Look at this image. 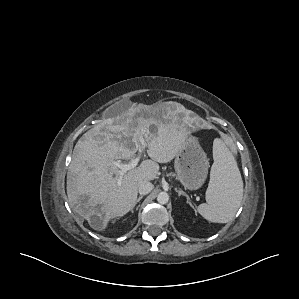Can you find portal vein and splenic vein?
<instances>
[{"label":"portal vein and splenic vein","instance_id":"obj_1","mask_svg":"<svg viewBox=\"0 0 299 299\" xmlns=\"http://www.w3.org/2000/svg\"><path fill=\"white\" fill-rule=\"evenodd\" d=\"M140 143H141V146H140L139 155L137 157L131 159V161L129 163L123 164V163H120V161H113L112 162V164L114 166L119 168V172H118L117 177H116V181H117L118 185H121L123 175L127 171H129L131 169H134L137 166L145 147H147V143L145 142V140L143 138H140Z\"/></svg>","mask_w":299,"mask_h":299}]
</instances>
